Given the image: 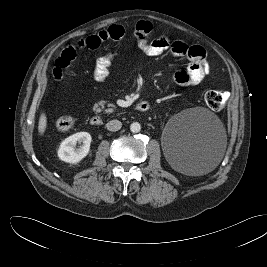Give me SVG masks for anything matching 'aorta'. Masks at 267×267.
I'll return each instance as SVG.
<instances>
[{"instance_id":"obj_1","label":"aorta","mask_w":267,"mask_h":267,"mask_svg":"<svg viewBox=\"0 0 267 267\" xmlns=\"http://www.w3.org/2000/svg\"><path fill=\"white\" fill-rule=\"evenodd\" d=\"M130 130L133 133H138L141 130V125L138 122H134L130 125Z\"/></svg>"}]
</instances>
